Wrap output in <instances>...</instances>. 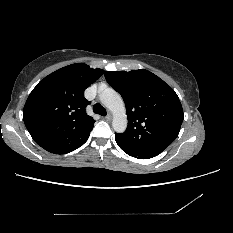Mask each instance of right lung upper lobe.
Wrapping results in <instances>:
<instances>
[{"label":"right lung upper lobe","mask_w":233,"mask_h":233,"mask_svg":"<svg viewBox=\"0 0 233 233\" xmlns=\"http://www.w3.org/2000/svg\"><path fill=\"white\" fill-rule=\"evenodd\" d=\"M103 72L76 63L51 73L36 85L25 103L23 119L39 146L54 154H66L87 141L95 120L85 111L90 102L84 90Z\"/></svg>","instance_id":"1"}]
</instances>
